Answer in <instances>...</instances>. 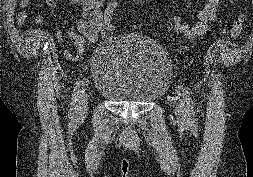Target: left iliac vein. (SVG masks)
<instances>
[{"mask_svg":"<svg viewBox=\"0 0 253 177\" xmlns=\"http://www.w3.org/2000/svg\"><path fill=\"white\" fill-rule=\"evenodd\" d=\"M175 115L181 120H185L186 118V109L181 100H178L175 103Z\"/></svg>","mask_w":253,"mask_h":177,"instance_id":"obj_1","label":"left iliac vein"}]
</instances>
